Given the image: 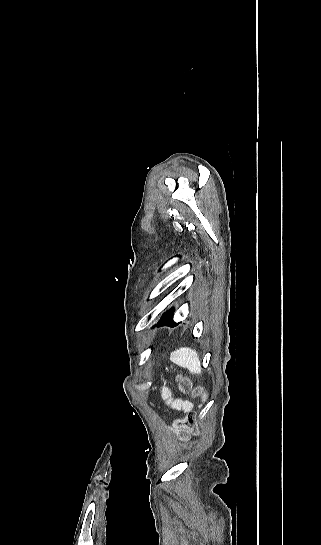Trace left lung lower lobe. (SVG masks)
Listing matches in <instances>:
<instances>
[{
    "label": "left lung lower lobe",
    "instance_id": "1",
    "mask_svg": "<svg viewBox=\"0 0 321 545\" xmlns=\"http://www.w3.org/2000/svg\"><path fill=\"white\" fill-rule=\"evenodd\" d=\"M161 325H176V323L173 322L172 311L164 314L163 318L157 324V326Z\"/></svg>",
    "mask_w": 321,
    "mask_h": 545
}]
</instances>
